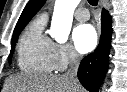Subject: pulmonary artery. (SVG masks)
I'll list each match as a JSON object with an SVG mask.
<instances>
[{
	"label": "pulmonary artery",
	"instance_id": "obj_1",
	"mask_svg": "<svg viewBox=\"0 0 127 92\" xmlns=\"http://www.w3.org/2000/svg\"><path fill=\"white\" fill-rule=\"evenodd\" d=\"M74 16L78 21H86L89 19V12L86 8L80 7L75 11Z\"/></svg>",
	"mask_w": 127,
	"mask_h": 92
}]
</instances>
